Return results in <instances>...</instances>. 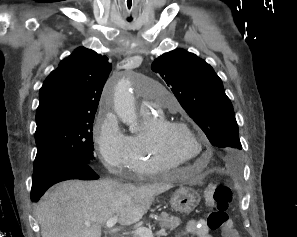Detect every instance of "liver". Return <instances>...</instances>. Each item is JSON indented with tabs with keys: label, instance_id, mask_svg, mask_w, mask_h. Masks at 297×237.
Returning a JSON list of instances; mask_svg holds the SVG:
<instances>
[{
	"label": "liver",
	"instance_id": "liver-1",
	"mask_svg": "<svg viewBox=\"0 0 297 237\" xmlns=\"http://www.w3.org/2000/svg\"><path fill=\"white\" fill-rule=\"evenodd\" d=\"M171 187L123 185L112 180L62 182L46 192L36 206L41 235L101 237V227L107 220L118 216V222L125 226L138 222L150 209L154 197Z\"/></svg>",
	"mask_w": 297,
	"mask_h": 237
}]
</instances>
